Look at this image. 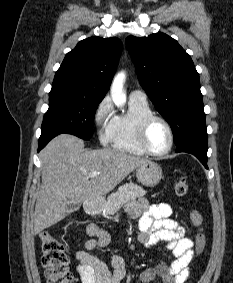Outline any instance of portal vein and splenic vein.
Returning a JSON list of instances; mask_svg holds the SVG:
<instances>
[{
  "instance_id": "1",
  "label": "portal vein and splenic vein",
  "mask_w": 233,
  "mask_h": 283,
  "mask_svg": "<svg viewBox=\"0 0 233 283\" xmlns=\"http://www.w3.org/2000/svg\"><path fill=\"white\" fill-rule=\"evenodd\" d=\"M99 174H100L99 172L94 171V172H91V173L89 174V176H90V177H95V176H97V175H99Z\"/></svg>"
}]
</instances>
